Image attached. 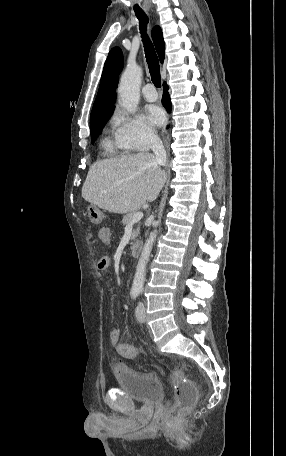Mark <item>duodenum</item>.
I'll list each match as a JSON object with an SVG mask.
<instances>
[{
	"instance_id": "1",
	"label": "duodenum",
	"mask_w": 286,
	"mask_h": 456,
	"mask_svg": "<svg viewBox=\"0 0 286 456\" xmlns=\"http://www.w3.org/2000/svg\"><path fill=\"white\" fill-rule=\"evenodd\" d=\"M130 251H131L132 255H134V256L140 255V253L142 251V242L141 241H134L131 244Z\"/></svg>"
}]
</instances>
